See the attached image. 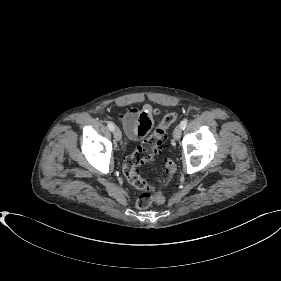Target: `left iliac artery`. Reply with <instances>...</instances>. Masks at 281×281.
<instances>
[{"instance_id": "left-iliac-artery-1", "label": "left iliac artery", "mask_w": 281, "mask_h": 281, "mask_svg": "<svg viewBox=\"0 0 281 281\" xmlns=\"http://www.w3.org/2000/svg\"><path fill=\"white\" fill-rule=\"evenodd\" d=\"M187 120L186 119H184V120H182L181 121V123H180V127L182 128V129H185V127H186V125H187Z\"/></svg>"}]
</instances>
